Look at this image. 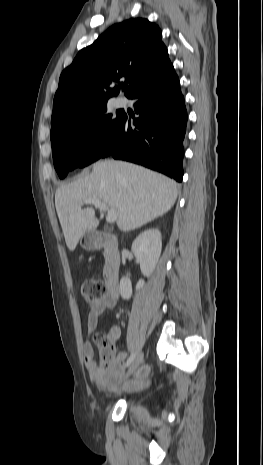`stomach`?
I'll return each instance as SVG.
<instances>
[{
	"label": "stomach",
	"instance_id": "0dacf381",
	"mask_svg": "<svg viewBox=\"0 0 263 465\" xmlns=\"http://www.w3.org/2000/svg\"><path fill=\"white\" fill-rule=\"evenodd\" d=\"M80 245L87 250L95 249L98 245L96 234L90 231L85 232L80 239Z\"/></svg>",
	"mask_w": 263,
	"mask_h": 465
}]
</instances>
